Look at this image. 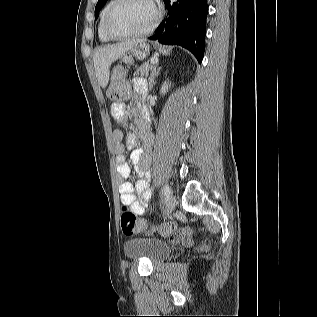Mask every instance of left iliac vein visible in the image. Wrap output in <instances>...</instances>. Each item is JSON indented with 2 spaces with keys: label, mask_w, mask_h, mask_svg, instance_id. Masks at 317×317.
Wrapping results in <instances>:
<instances>
[{
  "label": "left iliac vein",
  "mask_w": 317,
  "mask_h": 317,
  "mask_svg": "<svg viewBox=\"0 0 317 317\" xmlns=\"http://www.w3.org/2000/svg\"><path fill=\"white\" fill-rule=\"evenodd\" d=\"M177 204V198L174 194H171L167 200L165 210H164V216L167 217L170 213L173 212Z\"/></svg>",
  "instance_id": "obj_1"
}]
</instances>
